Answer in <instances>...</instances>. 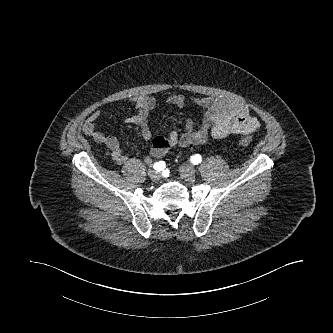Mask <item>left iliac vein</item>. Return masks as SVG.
<instances>
[{
	"label": "left iliac vein",
	"instance_id": "1",
	"mask_svg": "<svg viewBox=\"0 0 333 333\" xmlns=\"http://www.w3.org/2000/svg\"><path fill=\"white\" fill-rule=\"evenodd\" d=\"M181 177L188 181H193L196 177V170L193 166L183 164L179 167Z\"/></svg>",
	"mask_w": 333,
	"mask_h": 333
}]
</instances>
